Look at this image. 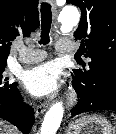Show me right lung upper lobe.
I'll use <instances>...</instances> for the list:
<instances>
[{"label":"right lung upper lobe","instance_id":"cb5924a9","mask_svg":"<svg viewBox=\"0 0 116 134\" xmlns=\"http://www.w3.org/2000/svg\"><path fill=\"white\" fill-rule=\"evenodd\" d=\"M38 27V0H0V64L7 63L11 41Z\"/></svg>","mask_w":116,"mask_h":134}]
</instances>
